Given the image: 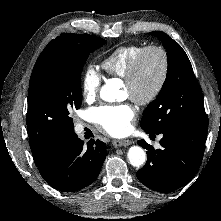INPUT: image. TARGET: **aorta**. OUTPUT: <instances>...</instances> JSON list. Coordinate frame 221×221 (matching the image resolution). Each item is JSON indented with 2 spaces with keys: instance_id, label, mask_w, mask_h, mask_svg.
Segmentation results:
<instances>
[{
  "instance_id": "obj_1",
  "label": "aorta",
  "mask_w": 221,
  "mask_h": 221,
  "mask_svg": "<svg viewBox=\"0 0 221 221\" xmlns=\"http://www.w3.org/2000/svg\"><path fill=\"white\" fill-rule=\"evenodd\" d=\"M119 88L116 84V80H108L102 87L100 96L103 100L108 102H114L118 96ZM128 160L134 167H140L145 163L146 154L144 150L139 146H132L128 150Z\"/></svg>"
}]
</instances>
